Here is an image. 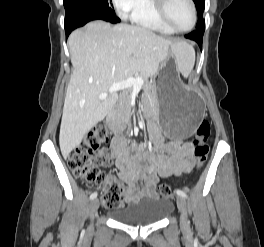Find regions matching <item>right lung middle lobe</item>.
Instances as JSON below:
<instances>
[{
	"label": "right lung middle lobe",
	"mask_w": 264,
	"mask_h": 247,
	"mask_svg": "<svg viewBox=\"0 0 264 247\" xmlns=\"http://www.w3.org/2000/svg\"><path fill=\"white\" fill-rule=\"evenodd\" d=\"M65 10L70 8H83L95 10L99 13L113 16L115 11L111 6V0H63Z\"/></svg>",
	"instance_id": "right-lung-middle-lobe-1"
}]
</instances>
